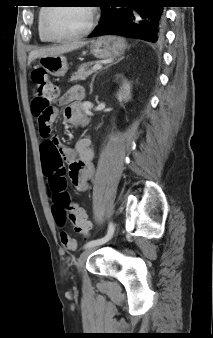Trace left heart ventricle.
Returning a JSON list of instances; mask_svg holds the SVG:
<instances>
[{
  "label": "left heart ventricle",
  "mask_w": 213,
  "mask_h": 338,
  "mask_svg": "<svg viewBox=\"0 0 213 338\" xmlns=\"http://www.w3.org/2000/svg\"><path fill=\"white\" fill-rule=\"evenodd\" d=\"M90 12L84 6H57L48 19L50 32L57 36L70 35L82 31L88 24Z\"/></svg>",
  "instance_id": "obj_1"
}]
</instances>
